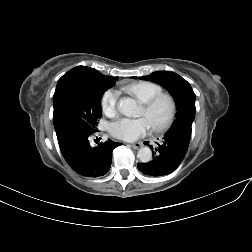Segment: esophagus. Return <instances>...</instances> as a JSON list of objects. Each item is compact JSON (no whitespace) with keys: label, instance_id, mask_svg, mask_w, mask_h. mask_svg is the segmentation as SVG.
Wrapping results in <instances>:
<instances>
[{"label":"esophagus","instance_id":"34e87169","mask_svg":"<svg viewBox=\"0 0 252 252\" xmlns=\"http://www.w3.org/2000/svg\"><path fill=\"white\" fill-rule=\"evenodd\" d=\"M130 146H131L133 149L137 150V149H139L140 147H142L143 144H142V143H134V144H131Z\"/></svg>","mask_w":252,"mask_h":252}]
</instances>
